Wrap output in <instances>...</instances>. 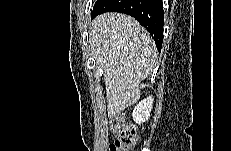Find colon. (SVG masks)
<instances>
[{"instance_id":"1","label":"colon","mask_w":231,"mask_h":151,"mask_svg":"<svg viewBox=\"0 0 231 151\" xmlns=\"http://www.w3.org/2000/svg\"><path fill=\"white\" fill-rule=\"evenodd\" d=\"M111 129L115 140L110 144V151H130L137 142L135 128L123 114L115 113L111 120Z\"/></svg>"}]
</instances>
